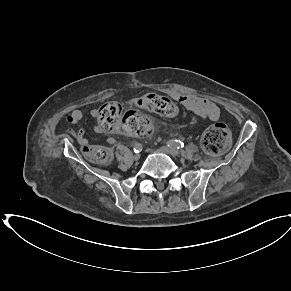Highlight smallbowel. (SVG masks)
<instances>
[{
  "label": "small bowel",
  "mask_w": 291,
  "mask_h": 291,
  "mask_svg": "<svg viewBox=\"0 0 291 291\" xmlns=\"http://www.w3.org/2000/svg\"><path fill=\"white\" fill-rule=\"evenodd\" d=\"M178 101L190 112L199 116L204 120L217 121L220 118L219 107L211 100L199 97L196 95L183 94L177 97ZM91 114L96 115V110H92ZM83 112L79 109L71 111V113L66 117V122L70 125H75L83 119ZM99 132V128L95 129ZM68 133L73 136L76 141L81 145L85 146L88 144V139L84 129L74 130L69 129ZM109 143H114L113 138L108 139Z\"/></svg>",
  "instance_id": "c3829d8e"
}]
</instances>
